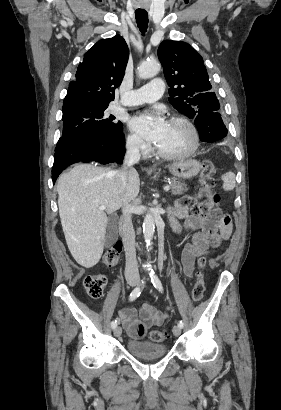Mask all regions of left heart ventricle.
I'll return each instance as SVG.
<instances>
[{"instance_id":"left-heart-ventricle-1","label":"left heart ventricle","mask_w":281,"mask_h":410,"mask_svg":"<svg viewBox=\"0 0 281 410\" xmlns=\"http://www.w3.org/2000/svg\"><path fill=\"white\" fill-rule=\"evenodd\" d=\"M192 141V134L187 126L169 121L157 146L168 153H180L189 149Z\"/></svg>"}]
</instances>
